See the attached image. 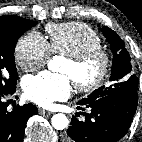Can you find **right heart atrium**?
<instances>
[{"instance_id": "d8ad5b80", "label": "right heart atrium", "mask_w": 142, "mask_h": 142, "mask_svg": "<svg viewBox=\"0 0 142 142\" xmlns=\"http://www.w3.org/2000/svg\"><path fill=\"white\" fill-rule=\"evenodd\" d=\"M46 39L38 32H28L16 43L14 56L17 65L26 72L43 66L50 57Z\"/></svg>"}]
</instances>
